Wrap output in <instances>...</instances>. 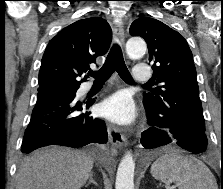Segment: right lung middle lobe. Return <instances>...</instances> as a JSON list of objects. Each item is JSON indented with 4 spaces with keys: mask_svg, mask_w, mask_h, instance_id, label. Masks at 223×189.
I'll use <instances>...</instances> for the list:
<instances>
[{
    "mask_svg": "<svg viewBox=\"0 0 223 189\" xmlns=\"http://www.w3.org/2000/svg\"><path fill=\"white\" fill-rule=\"evenodd\" d=\"M56 91H71L70 89H61V90H56Z\"/></svg>",
    "mask_w": 223,
    "mask_h": 189,
    "instance_id": "1",
    "label": "right lung middle lobe"
}]
</instances>
